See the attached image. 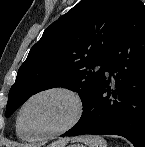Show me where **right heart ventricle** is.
<instances>
[{
	"instance_id": "obj_1",
	"label": "right heart ventricle",
	"mask_w": 145,
	"mask_h": 147,
	"mask_svg": "<svg viewBox=\"0 0 145 147\" xmlns=\"http://www.w3.org/2000/svg\"><path fill=\"white\" fill-rule=\"evenodd\" d=\"M17 134L20 138L24 139V140H30L29 138H27L25 136V134L23 132H20L19 130H17Z\"/></svg>"
}]
</instances>
